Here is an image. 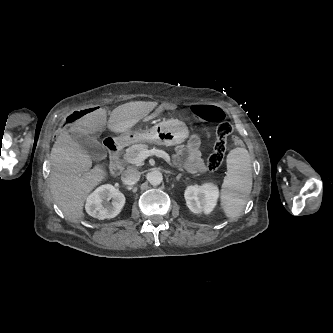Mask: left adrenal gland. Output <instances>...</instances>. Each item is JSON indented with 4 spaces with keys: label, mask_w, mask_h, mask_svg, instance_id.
Instances as JSON below:
<instances>
[{
    "label": "left adrenal gland",
    "mask_w": 333,
    "mask_h": 333,
    "mask_svg": "<svg viewBox=\"0 0 333 333\" xmlns=\"http://www.w3.org/2000/svg\"><path fill=\"white\" fill-rule=\"evenodd\" d=\"M182 176H183V174H179V175H177V177H176L177 181H179V180L181 179Z\"/></svg>",
    "instance_id": "left-adrenal-gland-1"
}]
</instances>
